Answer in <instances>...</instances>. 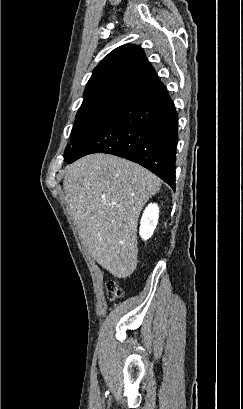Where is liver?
I'll use <instances>...</instances> for the list:
<instances>
[{"mask_svg": "<svg viewBox=\"0 0 243 409\" xmlns=\"http://www.w3.org/2000/svg\"><path fill=\"white\" fill-rule=\"evenodd\" d=\"M157 176L126 159L97 153L64 169L65 201L89 254L117 278L137 266V225L160 189Z\"/></svg>", "mask_w": 243, "mask_h": 409, "instance_id": "6515ba94", "label": "liver"}]
</instances>
